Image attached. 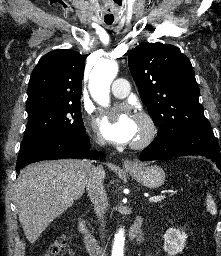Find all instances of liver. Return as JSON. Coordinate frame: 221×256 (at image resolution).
<instances>
[{"instance_id":"obj_1","label":"liver","mask_w":221,"mask_h":256,"mask_svg":"<svg viewBox=\"0 0 221 256\" xmlns=\"http://www.w3.org/2000/svg\"><path fill=\"white\" fill-rule=\"evenodd\" d=\"M90 163L52 160L28 165L20 171L14 198L19 221L30 243H35L48 225L84 194V177Z\"/></svg>"}]
</instances>
